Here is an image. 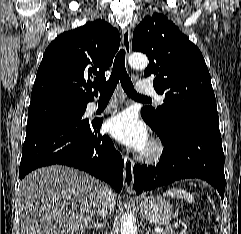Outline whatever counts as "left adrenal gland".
Segmentation results:
<instances>
[{
	"instance_id": "obj_1",
	"label": "left adrenal gland",
	"mask_w": 241,
	"mask_h": 234,
	"mask_svg": "<svg viewBox=\"0 0 241 234\" xmlns=\"http://www.w3.org/2000/svg\"><path fill=\"white\" fill-rule=\"evenodd\" d=\"M147 234H150V232H149V231H147Z\"/></svg>"
}]
</instances>
